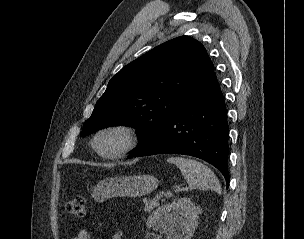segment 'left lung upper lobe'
<instances>
[{
	"mask_svg": "<svg viewBox=\"0 0 304 239\" xmlns=\"http://www.w3.org/2000/svg\"><path fill=\"white\" fill-rule=\"evenodd\" d=\"M213 63L197 40H169L124 66L108 83L86 120L81 136L127 125L137 128L139 147L147 145L206 83Z\"/></svg>",
	"mask_w": 304,
	"mask_h": 239,
	"instance_id": "1",
	"label": "left lung upper lobe"
}]
</instances>
